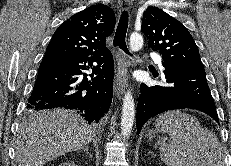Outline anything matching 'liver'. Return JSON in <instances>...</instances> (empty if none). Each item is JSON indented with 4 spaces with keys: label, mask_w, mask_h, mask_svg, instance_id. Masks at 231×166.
Instances as JSON below:
<instances>
[{
    "label": "liver",
    "mask_w": 231,
    "mask_h": 166,
    "mask_svg": "<svg viewBox=\"0 0 231 166\" xmlns=\"http://www.w3.org/2000/svg\"><path fill=\"white\" fill-rule=\"evenodd\" d=\"M94 132L77 113L65 109L34 113L16 139L18 166H42L68 152L82 149Z\"/></svg>",
    "instance_id": "obj_1"
}]
</instances>
